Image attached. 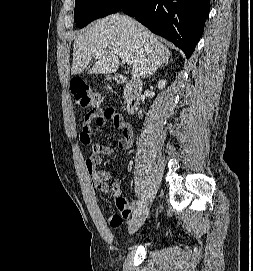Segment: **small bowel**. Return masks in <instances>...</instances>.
Here are the masks:
<instances>
[{
    "mask_svg": "<svg viewBox=\"0 0 253 271\" xmlns=\"http://www.w3.org/2000/svg\"><path fill=\"white\" fill-rule=\"evenodd\" d=\"M110 121L113 126L122 132L123 137L118 140V147L122 150H127L132 146L133 143V131L129 124L119 118V121L107 119L102 112H88L83 117V123L80 132V141L83 145L91 144V136L93 132V124L97 126H105ZM113 148L109 145L102 143H95L91 145V154L85 161V168L90 176L93 187L106 191L108 189L107 181L110 178V173L107 170L99 169L103 161L104 156H109L113 153ZM134 209V203H125V208L120 210L118 215L121 220L123 217H128ZM120 224L116 225L119 226ZM114 226V227H116Z\"/></svg>",
    "mask_w": 253,
    "mask_h": 271,
    "instance_id": "c3829d8e",
    "label": "small bowel"
}]
</instances>
